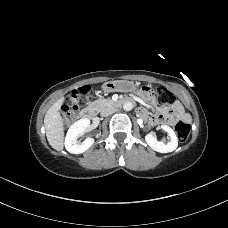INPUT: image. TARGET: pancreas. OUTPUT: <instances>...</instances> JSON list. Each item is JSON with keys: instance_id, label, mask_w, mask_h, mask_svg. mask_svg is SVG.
I'll return each instance as SVG.
<instances>
[{"instance_id": "obj_1", "label": "pancreas", "mask_w": 228, "mask_h": 228, "mask_svg": "<svg viewBox=\"0 0 228 228\" xmlns=\"http://www.w3.org/2000/svg\"><path fill=\"white\" fill-rule=\"evenodd\" d=\"M113 101L110 100V99H98V100H95L94 102H92L90 104V106L95 109L96 111H103L104 108L110 104H112Z\"/></svg>"}]
</instances>
